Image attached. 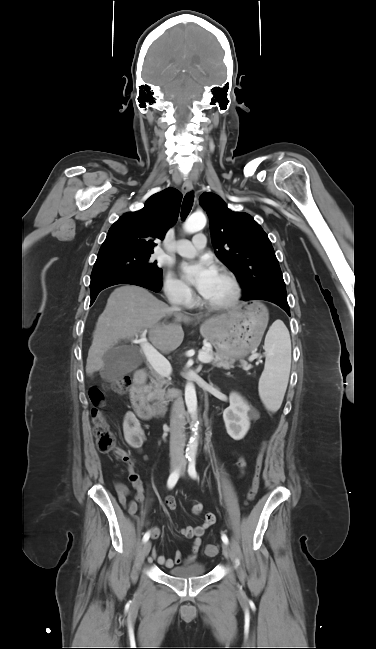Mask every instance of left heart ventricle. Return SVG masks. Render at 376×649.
<instances>
[{
    "label": "left heart ventricle",
    "mask_w": 376,
    "mask_h": 649,
    "mask_svg": "<svg viewBox=\"0 0 376 649\" xmlns=\"http://www.w3.org/2000/svg\"><path fill=\"white\" fill-rule=\"evenodd\" d=\"M232 294V286L226 276L217 272L210 287L203 297L211 303L226 301Z\"/></svg>",
    "instance_id": "b2bd125f"
}]
</instances>
